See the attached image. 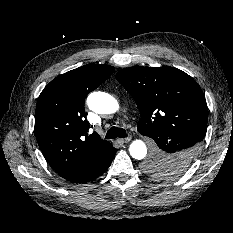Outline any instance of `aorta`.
<instances>
[{"label": "aorta", "instance_id": "1", "mask_svg": "<svg viewBox=\"0 0 233 233\" xmlns=\"http://www.w3.org/2000/svg\"><path fill=\"white\" fill-rule=\"evenodd\" d=\"M88 107L99 114H112L119 109L117 100L105 92H92L87 98ZM130 155L137 160L145 158L147 147L142 140H134L129 147Z\"/></svg>", "mask_w": 233, "mask_h": 233}]
</instances>
